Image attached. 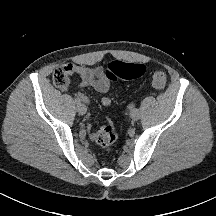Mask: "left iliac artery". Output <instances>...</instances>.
<instances>
[{
    "mask_svg": "<svg viewBox=\"0 0 216 216\" xmlns=\"http://www.w3.org/2000/svg\"><path fill=\"white\" fill-rule=\"evenodd\" d=\"M128 108H129L130 111H132V110L135 109V105H134V104H130V105L128 106Z\"/></svg>",
    "mask_w": 216,
    "mask_h": 216,
    "instance_id": "44dca946",
    "label": "left iliac artery"
}]
</instances>
